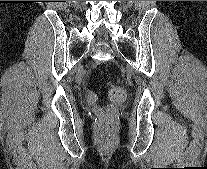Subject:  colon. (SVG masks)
Wrapping results in <instances>:
<instances>
[{
	"mask_svg": "<svg viewBox=\"0 0 207 169\" xmlns=\"http://www.w3.org/2000/svg\"><path fill=\"white\" fill-rule=\"evenodd\" d=\"M110 104L103 110H100V118L97 123L98 136L103 140L112 138L115 130V118L117 107L125 99V90L116 85L111 84L108 90Z\"/></svg>",
	"mask_w": 207,
	"mask_h": 169,
	"instance_id": "obj_1",
	"label": "colon"
}]
</instances>
